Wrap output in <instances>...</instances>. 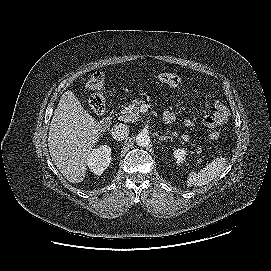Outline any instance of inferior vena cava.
Listing matches in <instances>:
<instances>
[{
  "mask_svg": "<svg viewBox=\"0 0 271 271\" xmlns=\"http://www.w3.org/2000/svg\"><path fill=\"white\" fill-rule=\"evenodd\" d=\"M112 137L115 140L122 141L128 137L129 128L125 124H115L111 129Z\"/></svg>",
  "mask_w": 271,
  "mask_h": 271,
  "instance_id": "1",
  "label": "inferior vena cava"
}]
</instances>
